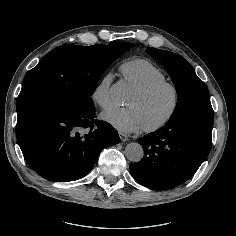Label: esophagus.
Segmentation results:
<instances>
[{
  "label": "esophagus",
  "mask_w": 236,
  "mask_h": 236,
  "mask_svg": "<svg viewBox=\"0 0 236 236\" xmlns=\"http://www.w3.org/2000/svg\"><path fill=\"white\" fill-rule=\"evenodd\" d=\"M119 137H120L121 141H123V142L128 140V136L122 132H119Z\"/></svg>",
  "instance_id": "esophagus-1"
}]
</instances>
